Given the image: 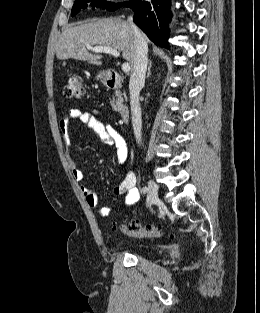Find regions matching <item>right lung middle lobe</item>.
I'll return each instance as SVG.
<instances>
[{
	"label": "right lung middle lobe",
	"instance_id": "1",
	"mask_svg": "<svg viewBox=\"0 0 260 313\" xmlns=\"http://www.w3.org/2000/svg\"><path fill=\"white\" fill-rule=\"evenodd\" d=\"M86 2L91 3V6L102 7L110 11H114L123 5V3L114 4L106 2L104 0H75L72 8V16L77 14L81 10V8H86L87 7Z\"/></svg>",
	"mask_w": 260,
	"mask_h": 313
}]
</instances>
